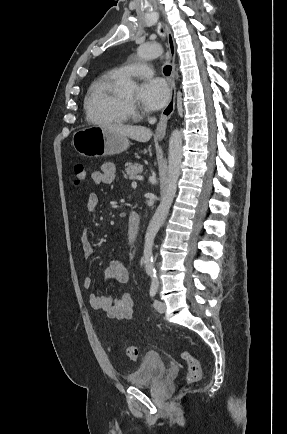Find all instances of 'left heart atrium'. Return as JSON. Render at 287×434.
I'll use <instances>...</instances> for the list:
<instances>
[{
	"label": "left heart atrium",
	"mask_w": 287,
	"mask_h": 434,
	"mask_svg": "<svg viewBox=\"0 0 287 434\" xmlns=\"http://www.w3.org/2000/svg\"><path fill=\"white\" fill-rule=\"evenodd\" d=\"M169 88L162 79H153L141 84L139 100L148 110L162 108L169 99Z\"/></svg>",
	"instance_id": "obj_1"
}]
</instances>
